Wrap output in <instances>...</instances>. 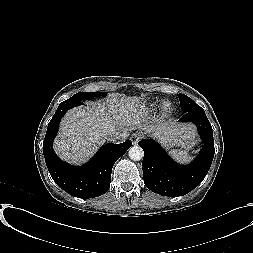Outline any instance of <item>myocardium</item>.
Instances as JSON below:
<instances>
[{
  "label": "myocardium",
  "mask_w": 253,
  "mask_h": 253,
  "mask_svg": "<svg viewBox=\"0 0 253 253\" xmlns=\"http://www.w3.org/2000/svg\"><path fill=\"white\" fill-rule=\"evenodd\" d=\"M161 110L164 114H171L174 110L173 104L170 101H165L162 103Z\"/></svg>",
  "instance_id": "1"
}]
</instances>
